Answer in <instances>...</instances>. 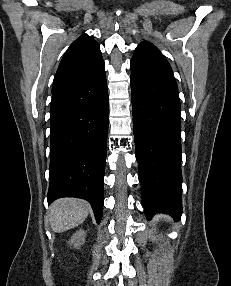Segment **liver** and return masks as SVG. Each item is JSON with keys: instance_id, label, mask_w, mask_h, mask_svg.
<instances>
[{"instance_id": "liver-1", "label": "liver", "mask_w": 231, "mask_h": 286, "mask_svg": "<svg viewBox=\"0 0 231 286\" xmlns=\"http://www.w3.org/2000/svg\"><path fill=\"white\" fill-rule=\"evenodd\" d=\"M90 205L81 199L61 198L49 208V222L54 232H64L81 224L88 216Z\"/></svg>"}]
</instances>
